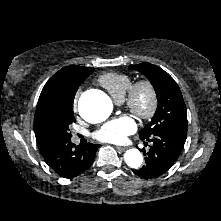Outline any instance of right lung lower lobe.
Returning <instances> with one entry per match:
<instances>
[{
	"instance_id": "obj_1",
	"label": "right lung lower lobe",
	"mask_w": 221,
	"mask_h": 221,
	"mask_svg": "<svg viewBox=\"0 0 221 221\" xmlns=\"http://www.w3.org/2000/svg\"><path fill=\"white\" fill-rule=\"evenodd\" d=\"M100 145L87 143L76 146L69 141L50 143L40 150L47 164L61 177L73 178L84 173L92 165Z\"/></svg>"
}]
</instances>
